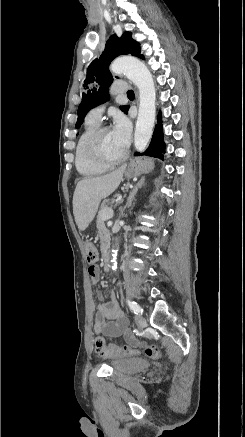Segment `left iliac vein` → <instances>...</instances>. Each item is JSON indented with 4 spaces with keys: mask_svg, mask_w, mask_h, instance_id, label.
<instances>
[{
    "mask_svg": "<svg viewBox=\"0 0 245 437\" xmlns=\"http://www.w3.org/2000/svg\"><path fill=\"white\" fill-rule=\"evenodd\" d=\"M136 322L139 328H144L146 326V320L141 314L136 316Z\"/></svg>",
    "mask_w": 245,
    "mask_h": 437,
    "instance_id": "left-iliac-vein-1",
    "label": "left iliac vein"
}]
</instances>
